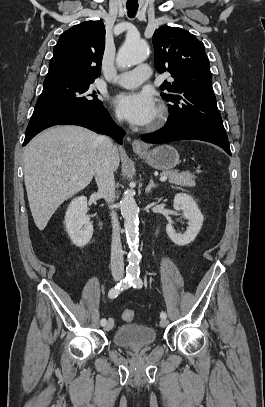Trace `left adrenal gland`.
Masks as SVG:
<instances>
[{
    "label": "left adrenal gland",
    "instance_id": "left-adrenal-gland-1",
    "mask_svg": "<svg viewBox=\"0 0 265 407\" xmlns=\"http://www.w3.org/2000/svg\"><path fill=\"white\" fill-rule=\"evenodd\" d=\"M155 187H157V185L153 182V179L151 178L149 184L145 188V193L151 192V189Z\"/></svg>",
    "mask_w": 265,
    "mask_h": 407
}]
</instances>
